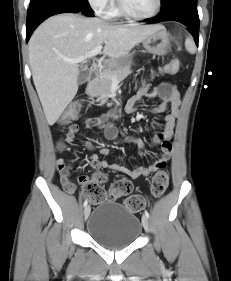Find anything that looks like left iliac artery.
<instances>
[{"mask_svg":"<svg viewBox=\"0 0 231 281\" xmlns=\"http://www.w3.org/2000/svg\"><path fill=\"white\" fill-rule=\"evenodd\" d=\"M144 214H145V216H146L147 218H149V213H148L147 210H145Z\"/></svg>","mask_w":231,"mask_h":281,"instance_id":"left-iliac-artery-1","label":"left iliac artery"}]
</instances>
